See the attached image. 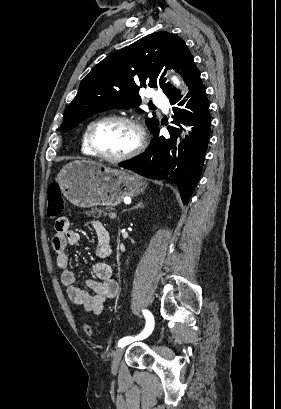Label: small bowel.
<instances>
[{"mask_svg": "<svg viewBox=\"0 0 281 409\" xmlns=\"http://www.w3.org/2000/svg\"><path fill=\"white\" fill-rule=\"evenodd\" d=\"M89 223L96 233L94 256L97 262L92 266L96 279L86 281V286L92 293L75 285L76 275L68 268L69 246L79 242V234L70 228L68 218L60 217L55 221L52 246L56 253L57 266L62 270L60 279L66 287L69 300L74 305L81 306L85 312L99 314L105 303L118 295L119 284L114 279L113 268L107 261L113 253L110 234L101 222L90 220Z\"/></svg>", "mask_w": 281, "mask_h": 409, "instance_id": "1", "label": "small bowel"}]
</instances>
